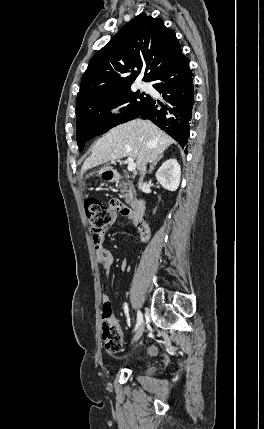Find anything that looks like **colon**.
<instances>
[{
  "label": "colon",
  "mask_w": 264,
  "mask_h": 429,
  "mask_svg": "<svg viewBox=\"0 0 264 429\" xmlns=\"http://www.w3.org/2000/svg\"><path fill=\"white\" fill-rule=\"evenodd\" d=\"M86 218L93 238L103 235L111 221L113 211L119 210L128 214L129 210L120 202H113L110 206L104 205L98 199L89 198L84 203ZM102 341L108 352H117L122 345V329L118 320L112 315L111 305H103L102 315Z\"/></svg>",
  "instance_id": "1"
}]
</instances>
